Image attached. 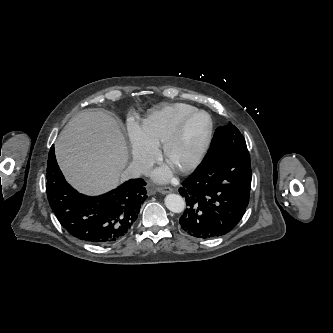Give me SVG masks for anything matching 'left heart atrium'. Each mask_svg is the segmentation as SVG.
Masks as SVG:
<instances>
[{
	"mask_svg": "<svg viewBox=\"0 0 333 333\" xmlns=\"http://www.w3.org/2000/svg\"><path fill=\"white\" fill-rule=\"evenodd\" d=\"M154 178L158 181H166L169 178V171L167 169H159L155 171Z\"/></svg>",
	"mask_w": 333,
	"mask_h": 333,
	"instance_id": "39dd6f15",
	"label": "left heart atrium"
}]
</instances>
